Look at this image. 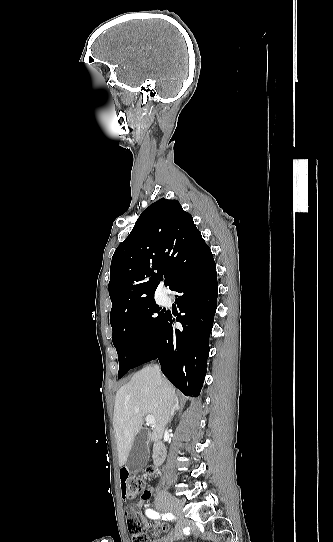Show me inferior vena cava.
Listing matches in <instances>:
<instances>
[{
    "instance_id": "602c4592",
    "label": "inferior vena cava",
    "mask_w": 333,
    "mask_h": 542,
    "mask_svg": "<svg viewBox=\"0 0 333 542\" xmlns=\"http://www.w3.org/2000/svg\"><path fill=\"white\" fill-rule=\"evenodd\" d=\"M154 370H155V372H158V374H160V372H161L159 366H154Z\"/></svg>"
}]
</instances>
